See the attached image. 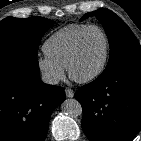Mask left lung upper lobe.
I'll return each mask as SVG.
<instances>
[{
    "instance_id": "1",
    "label": "left lung upper lobe",
    "mask_w": 141,
    "mask_h": 141,
    "mask_svg": "<svg viewBox=\"0 0 141 141\" xmlns=\"http://www.w3.org/2000/svg\"><path fill=\"white\" fill-rule=\"evenodd\" d=\"M92 16L102 22L110 43V56L105 70L124 62L141 61V47L120 17L103 8L85 14L81 20Z\"/></svg>"
}]
</instances>
